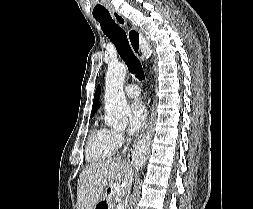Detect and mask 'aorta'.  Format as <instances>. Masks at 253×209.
Segmentation results:
<instances>
[{
	"label": "aorta",
	"instance_id": "762f6f07",
	"mask_svg": "<svg viewBox=\"0 0 253 209\" xmlns=\"http://www.w3.org/2000/svg\"><path fill=\"white\" fill-rule=\"evenodd\" d=\"M127 71L125 63H115L108 66L105 78V122L114 128H125L128 123L130 108L127 104L123 85Z\"/></svg>",
	"mask_w": 253,
	"mask_h": 209
}]
</instances>
